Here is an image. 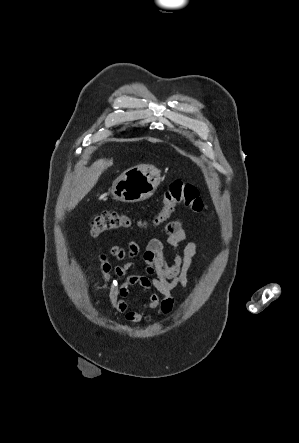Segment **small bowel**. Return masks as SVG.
Here are the masks:
<instances>
[{"label":"small bowel","instance_id":"1","mask_svg":"<svg viewBox=\"0 0 299 443\" xmlns=\"http://www.w3.org/2000/svg\"><path fill=\"white\" fill-rule=\"evenodd\" d=\"M162 232L167 236V245L173 252L171 264L166 262L164 244L157 238L150 239L142 252L146 264L143 273H129L136 268L133 261L112 265L106 254L99 256L102 284L109 288L110 303L117 312L124 313L130 322L147 321L148 313L152 310H158L164 315L169 314L174 306L172 290L188 285V271L198 252V245L189 242L181 249V244L188 238V232L179 221L169 222ZM109 254L118 261L134 259L141 254V248L138 242L131 241L126 248L112 246ZM113 276L124 280L120 284L115 283L112 281ZM133 286H139L144 292H150L148 300L139 310L129 309L128 297Z\"/></svg>","mask_w":299,"mask_h":443}]
</instances>
